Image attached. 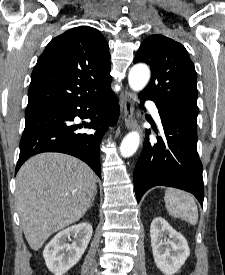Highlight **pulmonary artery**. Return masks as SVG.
<instances>
[{"mask_svg": "<svg viewBox=\"0 0 225 275\" xmlns=\"http://www.w3.org/2000/svg\"><path fill=\"white\" fill-rule=\"evenodd\" d=\"M147 106L151 109L152 114L155 117V119L158 122H160V116H159V112H158V109H157L156 105L151 101H147Z\"/></svg>", "mask_w": 225, "mask_h": 275, "instance_id": "1", "label": "pulmonary artery"}]
</instances>
